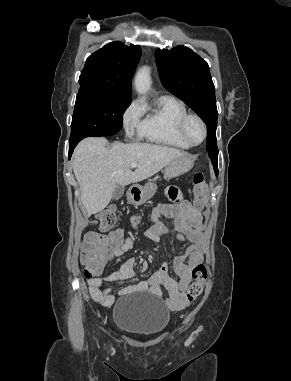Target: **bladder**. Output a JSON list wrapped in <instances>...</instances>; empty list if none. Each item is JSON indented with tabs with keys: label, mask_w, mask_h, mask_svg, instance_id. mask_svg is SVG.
I'll use <instances>...</instances> for the list:
<instances>
[{
	"label": "bladder",
	"mask_w": 291,
	"mask_h": 381,
	"mask_svg": "<svg viewBox=\"0 0 291 381\" xmlns=\"http://www.w3.org/2000/svg\"><path fill=\"white\" fill-rule=\"evenodd\" d=\"M170 318V311L160 299L147 292L125 295L113 308L114 325L137 337H152L162 333Z\"/></svg>",
	"instance_id": "bladder-1"
}]
</instances>
